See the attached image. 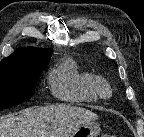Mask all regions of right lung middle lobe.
Returning <instances> with one entry per match:
<instances>
[{
	"label": "right lung middle lobe",
	"instance_id": "dd1d6c3e",
	"mask_svg": "<svg viewBox=\"0 0 144 137\" xmlns=\"http://www.w3.org/2000/svg\"><path fill=\"white\" fill-rule=\"evenodd\" d=\"M48 63L0 66V110L29 99Z\"/></svg>",
	"mask_w": 144,
	"mask_h": 137
}]
</instances>
